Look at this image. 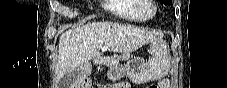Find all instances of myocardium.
<instances>
[{
  "label": "myocardium",
  "instance_id": "f54148a6",
  "mask_svg": "<svg viewBox=\"0 0 227 88\" xmlns=\"http://www.w3.org/2000/svg\"><path fill=\"white\" fill-rule=\"evenodd\" d=\"M137 12L143 20H152L158 10L153 0H139Z\"/></svg>",
  "mask_w": 227,
  "mask_h": 88
}]
</instances>
